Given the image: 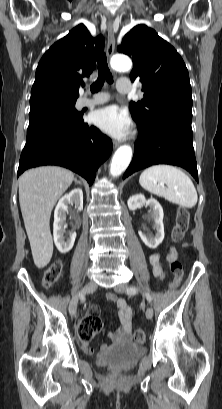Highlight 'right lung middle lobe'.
<instances>
[{"instance_id":"right-lung-middle-lobe-1","label":"right lung middle lobe","mask_w":222,"mask_h":409,"mask_svg":"<svg viewBox=\"0 0 222 409\" xmlns=\"http://www.w3.org/2000/svg\"><path fill=\"white\" fill-rule=\"evenodd\" d=\"M53 116L78 119L82 113L75 109V102L46 103L30 109L29 128Z\"/></svg>"}]
</instances>
